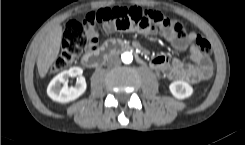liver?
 Returning a JSON list of instances; mask_svg holds the SVG:
<instances>
[{"instance_id": "liver-1", "label": "liver", "mask_w": 245, "mask_h": 145, "mask_svg": "<svg viewBox=\"0 0 245 145\" xmlns=\"http://www.w3.org/2000/svg\"><path fill=\"white\" fill-rule=\"evenodd\" d=\"M62 40V27L60 25L51 29L43 39L38 58L37 68L41 78H44L59 54Z\"/></svg>"}]
</instances>
